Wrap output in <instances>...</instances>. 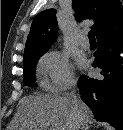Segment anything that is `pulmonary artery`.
<instances>
[{"instance_id": "pulmonary-artery-1", "label": "pulmonary artery", "mask_w": 123, "mask_h": 130, "mask_svg": "<svg viewBox=\"0 0 123 130\" xmlns=\"http://www.w3.org/2000/svg\"><path fill=\"white\" fill-rule=\"evenodd\" d=\"M79 45L82 49H89L90 47V42L86 36V34H83L80 38V41H79Z\"/></svg>"}]
</instances>
